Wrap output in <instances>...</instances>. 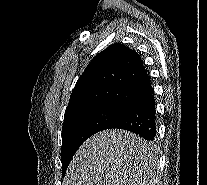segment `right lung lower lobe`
I'll use <instances>...</instances> for the list:
<instances>
[{
	"instance_id": "right-lung-lower-lobe-1",
	"label": "right lung lower lobe",
	"mask_w": 207,
	"mask_h": 185,
	"mask_svg": "<svg viewBox=\"0 0 207 185\" xmlns=\"http://www.w3.org/2000/svg\"><path fill=\"white\" fill-rule=\"evenodd\" d=\"M156 103L152 86L136 96L125 106L114 121L106 128L131 131L147 141L156 139Z\"/></svg>"
}]
</instances>
